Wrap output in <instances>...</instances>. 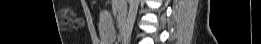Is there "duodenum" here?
Returning a JSON list of instances; mask_svg holds the SVG:
<instances>
[{
	"label": "duodenum",
	"instance_id": "410a0bca",
	"mask_svg": "<svg viewBox=\"0 0 261 44\" xmlns=\"http://www.w3.org/2000/svg\"><path fill=\"white\" fill-rule=\"evenodd\" d=\"M118 26H119V30L121 32L122 35L125 34L126 32V16H125V11L120 10L118 13Z\"/></svg>",
	"mask_w": 261,
	"mask_h": 44
}]
</instances>
